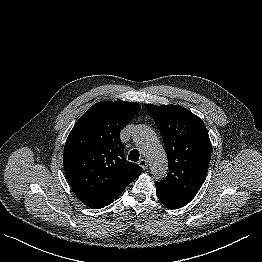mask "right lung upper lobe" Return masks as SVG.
Masks as SVG:
<instances>
[{"instance_id":"right-lung-upper-lobe-1","label":"right lung upper lobe","mask_w":262,"mask_h":262,"mask_svg":"<svg viewBox=\"0 0 262 262\" xmlns=\"http://www.w3.org/2000/svg\"><path fill=\"white\" fill-rule=\"evenodd\" d=\"M141 109L126 101H101L77 121L65 143L63 164L80 201L92 209L117 199L143 169L125 159L120 131Z\"/></svg>"}]
</instances>
